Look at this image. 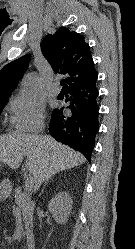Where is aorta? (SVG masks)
<instances>
[{
    "mask_svg": "<svg viewBox=\"0 0 135 249\" xmlns=\"http://www.w3.org/2000/svg\"><path fill=\"white\" fill-rule=\"evenodd\" d=\"M37 95V77L35 75H29L22 83L20 90V97L25 101H31L36 98Z\"/></svg>",
    "mask_w": 135,
    "mask_h": 249,
    "instance_id": "1",
    "label": "aorta"
}]
</instances>
